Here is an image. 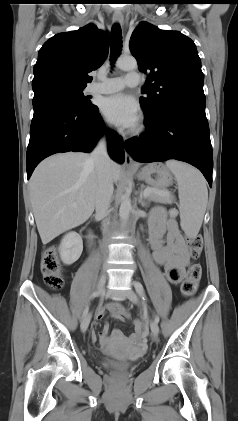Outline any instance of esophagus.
I'll use <instances>...</instances> for the list:
<instances>
[{
  "label": "esophagus",
  "instance_id": "obj_1",
  "mask_svg": "<svg viewBox=\"0 0 238 421\" xmlns=\"http://www.w3.org/2000/svg\"><path fill=\"white\" fill-rule=\"evenodd\" d=\"M113 21L115 23H118L120 25H123L124 23V17L122 15V13L120 12H115L113 15ZM125 166L128 168H134L135 167V163L131 157V155L125 151V162H124Z\"/></svg>",
  "mask_w": 238,
  "mask_h": 421
}]
</instances>
